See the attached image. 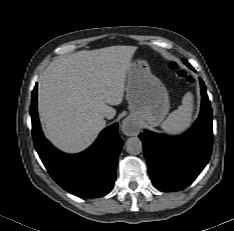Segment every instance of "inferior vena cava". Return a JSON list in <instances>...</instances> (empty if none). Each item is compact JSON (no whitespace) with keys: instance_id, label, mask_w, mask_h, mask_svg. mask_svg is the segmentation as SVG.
Here are the masks:
<instances>
[{"instance_id":"1","label":"inferior vena cava","mask_w":234,"mask_h":231,"mask_svg":"<svg viewBox=\"0 0 234 231\" xmlns=\"http://www.w3.org/2000/svg\"><path fill=\"white\" fill-rule=\"evenodd\" d=\"M106 118L111 119L112 116H110L109 114H106Z\"/></svg>"}]
</instances>
